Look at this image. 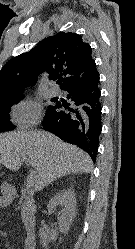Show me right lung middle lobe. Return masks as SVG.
<instances>
[{
	"label": "right lung middle lobe",
	"instance_id": "dd1d6c3e",
	"mask_svg": "<svg viewBox=\"0 0 135 249\" xmlns=\"http://www.w3.org/2000/svg\"><path fill=\"white\" fill-rule=\"evenodd\" d=\"M23 96H14L0 100V132L13 130L15 127L9 122L8 113L10 107L16 104ZM53 106H49L48 110ZM47 110V111H48Z\"/></svg>",
	"mask_w": 135,
	"mask_h": 249
}]
</instances>
